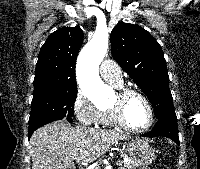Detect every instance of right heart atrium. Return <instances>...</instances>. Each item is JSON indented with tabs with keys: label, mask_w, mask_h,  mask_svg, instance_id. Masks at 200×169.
<instances>
[{
	"label": "right heart atrium",
	"mask_w": 200,
	"mask_h": 169,
	"mask_svg": "<svg viewBox=\"0 0 200 169\" xmlns=\"http://www.w3.org/2000/svg\"><path fill=\"white\" fill-rule=\"evenodd\" d=\"M72 107L74 115L83 125L97 126L100 124L102 110L99 109L82 91H77Z\"/></svg>",
	"instance_id": "d8ad5b80"
}]
</instances>
